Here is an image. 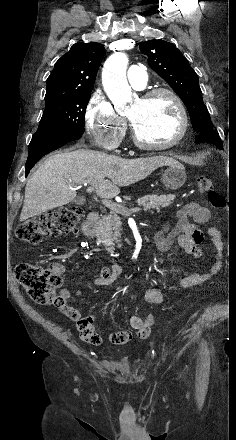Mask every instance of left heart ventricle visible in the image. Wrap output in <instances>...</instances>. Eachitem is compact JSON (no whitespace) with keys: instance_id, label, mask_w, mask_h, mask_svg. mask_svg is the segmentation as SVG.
<instances>
[{"instance_id":"obj_1","label":"left heart ventricle","mask_w":236,"mask_h":440,"mask_svg":"<svg viewBox=\"0 0 236 440\" xmlns=\"http://www.w3.org/2000/svg\"><path fill=\"white\" fill-rule=\"evenodd\" d=\"M128 118L141 138L153 144L169 142L177 135L180 127L176 106L166 95L148 101L139 99L131 107Z\"/></svg>"}]
</instances>
